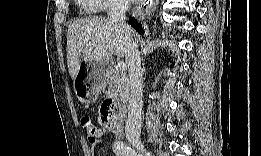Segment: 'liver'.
Instances as JSON below:
<instances>
[{
  "label": "liver",
  "instance_id": "6515ba94",
  "mask_svg": "<svg viewBox=\"0 0 261 156\" xmlns=\"http://www.w3.org/2000/svg\"><path fill=\"white\" fill-rule=\"evenodd\" d=\"M128 34L110 19L93 16L74 21L67 31V65L75 80L82 61L108 62L113 55L123 57L133 31Z\"/></svg>",
  "mask_w": 261,
  "mask_h": 156
}]
</instances>
